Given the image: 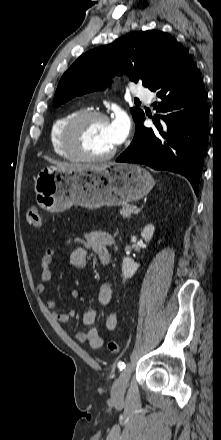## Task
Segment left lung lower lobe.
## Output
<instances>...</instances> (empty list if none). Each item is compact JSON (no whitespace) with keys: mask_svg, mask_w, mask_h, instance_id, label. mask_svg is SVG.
Returning a JSON list of instances; mask_svg holds the SVG:
<instances>
[{"mask_svg":"<svg viewBox=\"0 0 221 440\" xmlns=\"http://www.w3.org/2000/svg\"><path fill=\"white\" fill-rule=\"evenodd\" d=\"M160 101L155 102L156 128L135 127L130 146L116 162L140 163L157 170L185 176L196 195L207 147V94L196 65L182 49L168 70L149 88Z\"/></svg>","mask_w":221,"mask_h":440,"instance_id":"0a47b994","label":"left lung lower lobe"}]
</instances>
